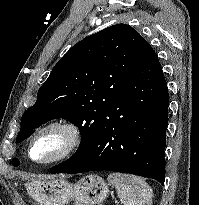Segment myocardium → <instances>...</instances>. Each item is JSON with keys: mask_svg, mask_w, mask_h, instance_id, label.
I'll list each match as a JSON object with an SVG mask.
<instances>
[{"mask_svg": "<svg viewBox=\"0 0 199 205\" xmlns=\"http://www.w3.org/2000/svg\"><path fill=\"white\" fill-rule=\"evenodd\" d=\"M50 132H58L62 136V145L60 149L52 156L43 159L36 160L33 157V148L36 142L45 134ZM83 142V134L81 128L73 121L66 119H56L48 122L42 126L37 132L33 135L29 142L28 146V155L29 158L41 165H49L63 161L73 154H75Z\"/></svg>", "mask_w": 199, "mask_h": 205, "instance_id": "f54148a6", "label": "myocardium"}]
</instances>
